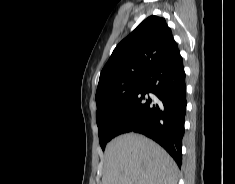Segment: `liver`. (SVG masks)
I'll list each match as a JSON object with an SVG mask.
<instances>
[{"label":"liver","mask_w":235,"mask_h":184,"mask_svg":"<svg viewBox=\"0 0 235 184\" xmlns=\"http://www.w3.org/2000/svg\"><path fill=\"white\" fill-rule=\"evenodd\" d=\"M102 184H177L178 168L158 144L140 134H123L105 150Z\"/></svg>","instance_id":"6515ba94"}]
</instances>
